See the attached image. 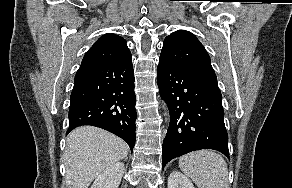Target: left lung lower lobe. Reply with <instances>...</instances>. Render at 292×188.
Returning <instances> with one entry per match:
<instances>
[{
    "mask_svg": "<svg viewBox=\"0 0 292 188\" xmlns=\"http://www.w3.org/2000/svg\"><path fill=\"white\" fill-rule=\"evenodd\" d=\"M157 82L170 111L163 141V167L173 158L199 149L229 157L221 92L217 81L159 59Z\"/></svg>",
    "mask_w": 292,
    "mask_h": 188,
    "instance_id": "0a47b994",
    "label": "left lung lower lobe"
}]
</instances>
